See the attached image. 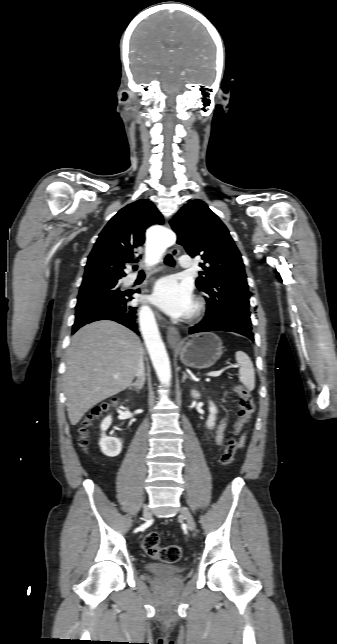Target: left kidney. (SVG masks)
<instances>
[{"label": "left kidney", "instance_id": "left-kidney-1", "mask_svg": "<svg viewBox=\"0 0 337 644\" xmlns=\"http://www.w3.org/2000/svg\"><path fill=\"white\" fill-rule=\"evenodd\" d=\"M191 394H192V396L194 398H199L200 397V394L196 390H192ZM209 412H210V415H209V418L207 420L206 426L208 428L212 429L215 426L216 413H217V408H216V406L214 405L213 402H209Z\"/></svg>", "mask_w": 337, "mask_h": 644}]
</instances>
